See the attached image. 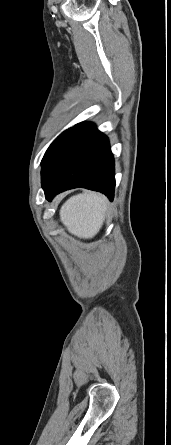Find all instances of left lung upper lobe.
<instances>
[{
  "mask_svg": "<svg viewBox=\"0 0 171 445\" xmlns=\"http://www.w3.org/2000/svg\"><path fill=\"white\" fill-rule=\"evenodd\" d=\"M69 129H67L66 131H64L62 134H60L54 141L53 143L50 145V147L47 149L41 164H43V162L45 161V159L48 157V155L51 153V151L53 150V148L55 147V145L59 142V140L62 138V136L68 131Z\"/></svg>",
  "mask_w": 171,
  "mask_h": 445,
  "instance_id": "1",
  "label": "left lung upper lobe"
}]
</instances>
